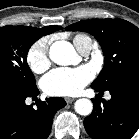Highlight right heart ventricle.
I'll return each mask as SVG.
<instances>
[{
  "instance_id": "right-heart-ventricle-1",
  "label": "right heart ventricle",
  "mask_w": 139,
  "mask_h": 139,
  "mask_svg": "<svg viewBox=\"0 0 139 139\" xmlns=\"http://www.w3.org/2000/svg\"><path fill=\"white\" fill-rule=\"evenodd\" d=\"M83 37H86V36L85 35H77V36H75L74 41H76L80 38H83Z\"/></svg>"
}]
</instances>
